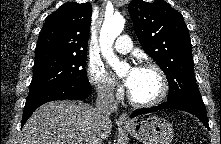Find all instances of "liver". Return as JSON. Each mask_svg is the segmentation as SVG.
I'll return each instance as SVG.
<instances>
[{
	"instance_id": "6515ba94",
	"label": "liver",
	"mask_w": 221,
	"mask_h": 144,
	"mask_svg": "<svg viewBox=\"0 0 221 144\" xmlns=\"http://www.w3.org/2000/svg\"><path fill=\"white\" fill-rule=\"evenodd\" d=\"M111 120L99 125L96 109L81 101H52L40 106L25 123L20 144H96L106 140Z\"/></svg>"
}]
</instances>
